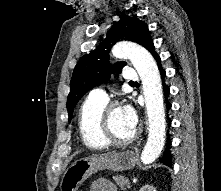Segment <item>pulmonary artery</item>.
<instances>
[{
  "label": "pulmonary artery",
  "mask_w": 221,
  "mask_h": 191,
  "mask_svg": "<svg viewBox=\"0 0 221 191\" xmlns=\"http://www.w3.org/2000/svg\"><path fill=\"white\" fill-rule=\"evenodd\" d=\"M123 78L125 81L134 82L138 80V74L133 69H125L123 71ZM89 96L97 100H108L106 92L102 89L93 90Z\"/></svg>",
  "instance_id": "obj_1"
}]
</instances>
